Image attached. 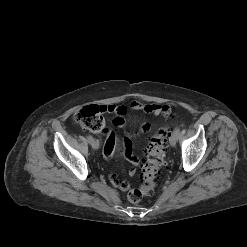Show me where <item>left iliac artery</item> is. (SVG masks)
Wrapping results in <instances>:
<instances>
[{
  "instance_id": "1",
  "label": "left iliac artery",
  "mask_w": 247,
  "mask_h": 247,
  "mask_svg": "<svg viewBox=\"0 0 247 247\" xmlns=\"http://www.w3.org/2000/svg\"><path fill=\"white\" fill-rule=\"evenodd\" d=\"M174 132H175L176 134H180V128H179V127H176L175 130H174Z\"/></svg>"
}]
</instances>
